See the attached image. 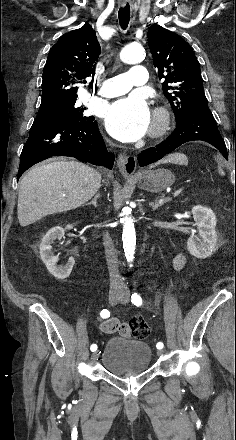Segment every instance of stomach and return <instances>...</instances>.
<instances>
[{
	"label": "stomach",
	"instance_id": "obj_1",
	"mask_svg": "<svg viewBox=\"0 0 236 440\" xmlns=\"http://www.w3.org/2000/svg\"><path fill=\"white\" fill-rule=\"evenodd\" d=\"M135 180L140 189L156 193L173 185L175 175L168 169H149L138 173Z\"/></svg>",
	"mask_w": 236,
	"mask_h": 440
}]
</instances>
